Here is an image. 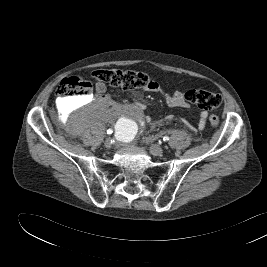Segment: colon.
Here are the masks:
<instances>
[{"instance_id":"obj_1","label":"colon","mask_w":267,"mask_h":267,"mask_svg":"<svg viewBox=\"0 0 267 267\" xmlns=\"http://www.w3.org/2000/svg\"><path fill=\"white\" fill-rule=\"evenodd\" d=\"M92 76L99 82L107 83L113 87H120L127 90L151 89L157 84L149 75L120 69H96ZM92 83L88 80L70 77L63 79L56 87V95L66 99L71 97H84L91 93ZM188 103L194 104L203 110H213L220 107L222 103L219 94L206 90L192 89L185 93ZM209 123L213 127L219 125L218 116L211 114Z\"/></svg>"}]
</instances>
